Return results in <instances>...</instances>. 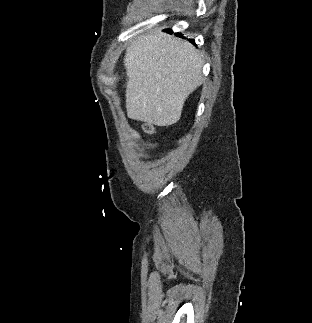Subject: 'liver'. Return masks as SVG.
<instances>
[{
  "instance_id": "obj_1",
  "label": "liver",
  "mask_w": 312,
  "mask_h": 323,
  "mask_svg": "<svg viewBox=\"0 0 312 323\" xmlns=\"http://www.w3.org/2000/svg\"><path fill=\"white\" fill-rule=\"evenodd\" d=\"M128 118L154 126H172L189 96L203 82V60L196 48L161 28L145 32L127 48Z\"/></svg>"
}]
</instances>
